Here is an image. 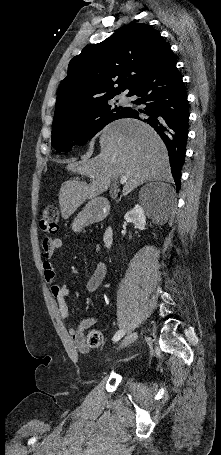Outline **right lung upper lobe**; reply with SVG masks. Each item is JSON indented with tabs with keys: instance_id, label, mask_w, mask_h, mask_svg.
I'll return each instance as SVG.
<instances>
[{
	"instance_id": "1",
	"label": "right lung upper lobe",
	"mask_w": 221,
	"mask_h": 455,
	"mask_svg": "<svg viewBox=\"0 0 221 455\" xmlns=\"http://www.w3.org/2000/svg\"><path fill=\"white\" fill-rule=\"evenodd\" d=\"M168 50L170 44L144 23L126 25L101 43L86 46L69 63L68 75L59 87L53 123L121 92L130 96Z\"/></svg>"
}]
</instances>
